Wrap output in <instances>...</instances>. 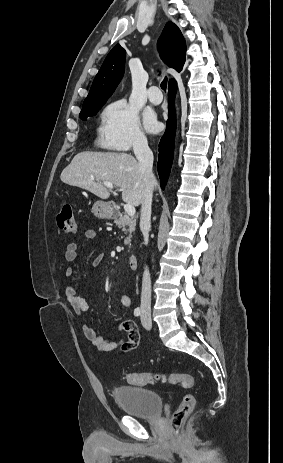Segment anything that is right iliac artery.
Here are the masks:
<instances>
[{"instance_id":"1","label":"right iliac artery","mask_w":283,"mask_h":463,"mask_svg":"<svg viewBox=\"0 0 283 463\" xmlns=\"http://www.w3.org/2000/svg\"><path fill=\"white\" fill-rule=\"evenodd\" d=\"M134 315L135 316H140L141 315V308H139V307L135 308Z\"/></svg>"}]
</instances>
